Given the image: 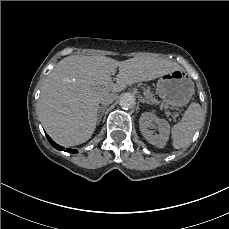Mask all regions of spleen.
I'll return each instance as SVG.
<instances>
[{"label":"spleen","instance_id":"3e777b00","mask_svg":"<svg viewBox=\"0 0 229 229\" xmlns=\"http://www.w3.org/2000/svg\"><path fill=\"white\" fill-rule=\"evenodd\" d=\"M204 116L198 103H192L182 118L171 130L173 147L176 149L187 147L195 132L203 125Z\"/></svg>","mask_w":229,"mask_h":229}]
</instances>
